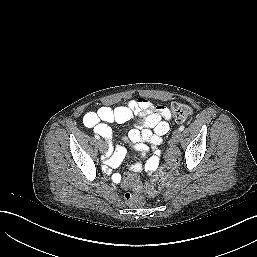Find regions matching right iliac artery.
Wrapping results in <instances>:
<instances>
[{
  "mask_svg": "<svg viewBox=\"0 0 257 257\" xmlns=\"http://www.w3.org/2000/svg\"><path fill=\"white\" fill-rule=\"evenodd\" d=\"M95 138H96V139H99L100 137H99L98 135H95Z\"/></svg>",
  "mask_w": 257,
  "mask_h": 257,
  "instance_id": "82829eb1",
  "label": "right iliac artery"
}]
</instances>
